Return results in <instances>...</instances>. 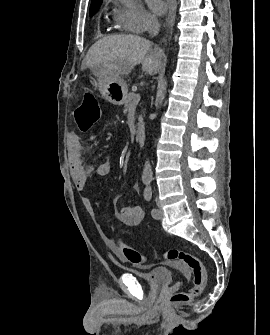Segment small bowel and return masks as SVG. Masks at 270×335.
Instances as JSON below:
<instances>
[{"label": "small bowel", "mask_w": 270, "mask_h": 335, "mask_svg": "<svg viewBox=\"0 0 270 335\" xmlns=\"http://www.w3.org/2000/svg\"><path fill=\"white\" fill-rule=\"evenodd\" d=\"M68 163L70 173L75 186L78 190H83L93 174L98 176H107L110 173L111 166L107 161L92 165L86 163L83 158L82 144L79 137L75 133L69 134L68 143ZM138 190V187H136ZM83 205L88 211H92V204L88 198H83ZM118 218L121 223L127 227H135L144 219V211L142 207L125 206L118 212Z\"/></svg>", "instance_id": "obj_1"}]
</instances>
